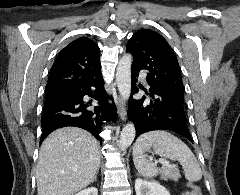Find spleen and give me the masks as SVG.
I'll return each mask as SVG.
<instances>
[{
	"label": "spleen",
	"instance_id": "1",
	"mask_svg": "<svg viewBox=\"0 0 240 195\" xmlns=\"http://www.w3.org/2000/svg\"><path fill=\"white\" fill-rule=\"evenodd\" d=\"M149 147H153L155 153L160 157H168V159H177L180 161L186 179L189 181H199L202 177V169L190 147L175 137L169 131L164 129H156V131H146L141 133L133 145V161L136 169L144 177H155L160 173L156 163L149 161L145 155Z\"/></svg>",
	"mask_w": 240,
	"mask_h": 195
}]
</instances>
